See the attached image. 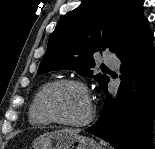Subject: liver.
Wrapping results in <instances>:
<instances>
[{"label":"liver","mask_w":155,"mask_h":149,"mask_svg":"<svg viewBox=\"0 0 155 149\" xmlns=\"http://www.w3.org/2000/svg\"><path fill=\"white\" fill-rule=\"evenodd\" d=\"M63 132H70V133H75V134H78L80 132L79 129H63L61 130Z\"/></svg>","instance_id":"1"}]
</instances>
